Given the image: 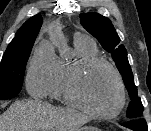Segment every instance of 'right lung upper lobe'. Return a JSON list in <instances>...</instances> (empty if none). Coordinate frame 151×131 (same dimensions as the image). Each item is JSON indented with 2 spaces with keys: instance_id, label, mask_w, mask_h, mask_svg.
Instances as JSON below:
<instances>
[{
  "instance_id": "1",
  "label": "right lung upper lobe",
  "mask_w": 151,
  "mask_h": 131,
  "mask_svg": "<svg viewBox=\"0 0 151 131\" xmlns=\"http://www.w3.org/2000/svg\"><path fill=\"white\" fill-rule=\"evenodd\" d=\"M41 25L42 17L39 14L28 19L17 31L14 39L10 42L7 49L25 47L30 44H34Z\"/></svg>"
}]
</instances>
